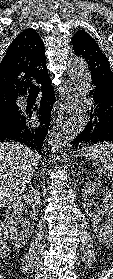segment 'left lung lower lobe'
Returning <instances> with one entry per match:
<instances>
[{
  "mask_svg": "<svg viewBox=\"0 0 113 279\" xmlns=\"http://www.w3.org/2000/svg\"><path fill=\"white\" fill-rule=\"evenodd\" d=\"M92 85L94 102L88 113L89 120L73 141V148L84 143H113V86L99 80H93Z\"/></svg>",
  "mask_w": 113,
  "mask_h": 279,
  "instance_id": "obj_1",
  "label": "left lung lower lobe"
}]
</instances>
